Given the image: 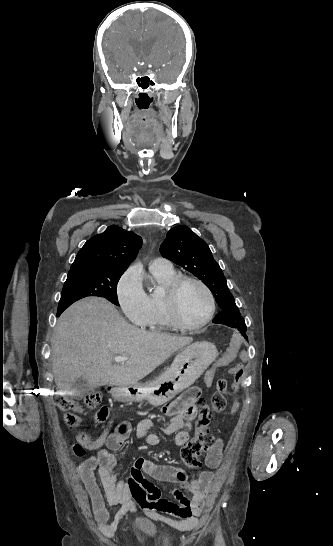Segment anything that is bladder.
Instances as JSON below:
<instances>
[{"mask_svg": "<svg viewBox=\"0 0 333 546\" xmlns=\"http://www.w3.org/2000/svg\"><path fill=\"white\" fill-rule=\"evenodd\" d=\"M134 532L150 538L157 537L159 531L156 523L148 518H140L134 524Z\"/></svg>", "mask_w": 333, "mask_h": 546, "instance_id": "1", "label": "bladder"}]
</instances>
